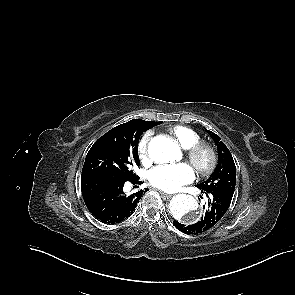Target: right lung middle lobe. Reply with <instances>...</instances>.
<instances>
[{"mask_svg":"<svg viewBox=\"0 0 295 295\" xmlns=\"http://www.w3.org/2000/svg\"><path fill=\"white\" fill-rule=\"evenodd\" d=\"M161 124L141 120L122 129H111L90 148L82 169L81 180L136 178L132 167L139 166L138 142L143 132Z\"/></svg>","mask_w":295,"mask_h":295,"instance_id":"dd1d6c3e","label":"right lung middle lobe"}]
</instances>
